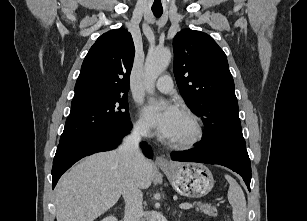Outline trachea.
<instances>
[{
	"label": "trachea",
	"instance_id": "trachea-1",
	"mask_svg": "<svg viewBox=\"0 0 307 221\" xmlns=\"http://www.w3.org/2000/svg\"><path fill=\"white\" fill-rule=\"evenodd\" d=\"M152 12L156 17H160L163 13V10L162 9H152Z\"/></svg>",
	"mask_w": 307,
	"mask_h": 221
}]
</instances>
